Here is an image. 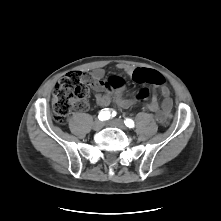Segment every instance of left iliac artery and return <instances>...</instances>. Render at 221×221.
Segmentation results:
<instances>
[{"label":"left iliac artery","mask_w":221,"mask_h":221,"mask_svg":"<svg viewBox=\"0 0 221 221\" xmlns=\"http://www.w3.org/2000/svg\"><path fill=\"white\" fill-rule=\"evenodd\" d=\"M124 123H125V125H126L127 127H129V128H133V127H134V121L131 120V119H126V120L124 121Z\"/></svg>","instance_id":"obj_1"}]
</instances>
